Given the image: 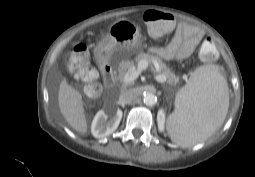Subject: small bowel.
<instances>
[{"instance_id":"1","label":"small bowel","mask_w":255,"mask_h":177,"mask_svg":"<svg viewBox=\"0 0 255 177\" xmlns=\"http://www.w3.org/2000/svg\"><path fill=\"white\" fill-rule=\"evenodd\" d=\"M203 38L204 31L201 28L180 23L166 46L152 47L150 51L166 60H182L192 55Z\"/></svg>"}]
</instances>
